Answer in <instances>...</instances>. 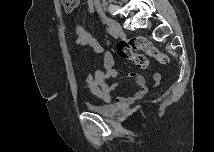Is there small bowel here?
I'll list each match as a JSON object with an SVG mask.
<instances>
[{
    "label": "small bowel",
    "mask_w": 215,
    "mask_h": 152,
    "mask_svg": "<svg viewBox=\"0 0 215 152\" xmlns=\"http://www.w3.org/2000/svg\"><path fill=\"white\" fill-rule=\"evenodd\" d=\"M89 9L90 11H93L92 2H89ZM74 28L76 33L75 43L77 45L88 46L93 49L94 52L103 54V69L97 70L93 76L87 75L85 82L94 95L105 102H110L112 99L111 92L118 87L116 82L111 81L112 78L119 74L115 68V57L111 52L106 51L99 40L86 31L83 26L76 23ZM127 75L134 80L135 84L138 86V90L131 96H118L116 98V103L118 105L137 101L149 91V87L145 85L144 77L141 74L129 72ZM161 81V75L159 73H155L153 75L151 88H157L161 84Z\"/></svg>",
    "instance_id": "obj_1"
}]
</instances>
